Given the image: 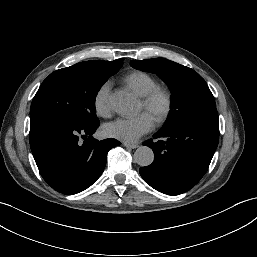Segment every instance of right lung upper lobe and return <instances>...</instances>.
Instances as JSON below:
<instances>
[{"label":"right lung upper lobe","mask_w":257,"mask_h":257,"mask_svg":"<svg viewBox=\"0 0 257 257\" xmlns=\"http://www.w3.org/2000/svg\"><path fill=\"white\" fill-rule=\"evenodd\" d=\"M89 65L95 66L99 69H107L110 67L120 66L122 64V59H117L114 61H99V60H91L85 62Z\"/></svg>","instance_id":"cb5924a9"}]
</instances>
